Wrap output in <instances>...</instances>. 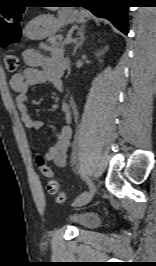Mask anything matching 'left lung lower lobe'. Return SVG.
I'll list each match as a JSON object with an SVG mask.
<instances>
[{"instance_id": "obj_1", "label": "left lung lower lobe", "mask_w": 156, "mask_h": 266, "mask_svg": "<svg viewBox=\"0 0 156 266\" xmlns=\"http://www.w3.org/2000/svg\"><path fill=\"white\" fill-rule=\"evenodd\" d=\"M72 3L89 9L98 17L110 20L121 32L128 34L127 4L129 0H73Z\"/></svg>"}]
</instances>
